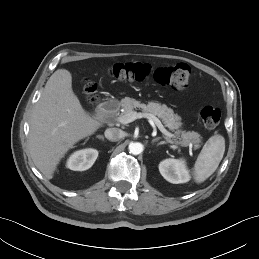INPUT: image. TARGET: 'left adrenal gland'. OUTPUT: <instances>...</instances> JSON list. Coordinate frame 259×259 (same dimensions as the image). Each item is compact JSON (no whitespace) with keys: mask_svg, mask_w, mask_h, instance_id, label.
Segmentation results:
<instances>
[{"mask_svg":"<svg viewBox=\"0 0 259 259\" xmlns=\"http://www.w3.org/2000/svg\"><path fill=\"white\" fill-rule=\"evenodd\" d=\"M160 140V138H154L152 141H151V144L153 145L155 142H158Z\"/></svg>","mask_w":259,"mask_h":259,"instance_id":"a2214340","label":"left adrenal gland"}]
</instances>
